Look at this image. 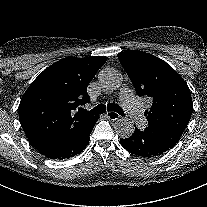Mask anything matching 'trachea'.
Instances as JSON below:
<instances>
[{
	"label": "trachea",
	"mask_w": 207,
	"mask_h": 207,
	"mask_svg": "<svg viewBox=\"0 0 207 207\" xmlns=\"http://www.w3.org/2000/svg\"><path fill=\"white\" fill-rule=\"evenodd\" d=\"M107 108L109 111H115L118 114H120L121 116H124V111L122 110V108H120L115 103H109ZM105 111H106V106L103 104H99L98 106L94 107L90 111H84V113L89 114V115H99V114L105 113Z\"/></svg>",
	"instance_id": "3493384b"
}]
</instances>
